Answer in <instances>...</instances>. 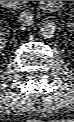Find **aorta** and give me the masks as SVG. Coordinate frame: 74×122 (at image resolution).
<instances>
[{"mask_svg":"<svg viewBox=\"0 0 74 122\" xmlns=\"http://www.w3.org/2000/svg\"><path fill=\"white\" fill-rule=\"evenodd\" d=\"M56 29H57V26L55 22L48 20L41 24L39 33L43 38L49 39L55 35Z\"/></svg>","mask_w":74,"mask_h":122,"instance_id":"aorta-1","label":"aorta"}]
</instances>
